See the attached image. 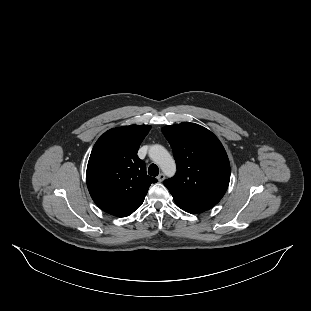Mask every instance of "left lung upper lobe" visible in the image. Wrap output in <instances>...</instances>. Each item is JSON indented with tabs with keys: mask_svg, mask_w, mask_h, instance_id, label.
Segmentation results:
<instances>
[{
	"mask_svg": "<svg viewBox=\"0 0 311 311\" xmlns=\"http://www.w3.org/2000/svg\"><path fill=\"white\" fill-rule=\"evenodd\" d=\"M162 132L177 165L175 176L164 185L187 203L215 206L230 181V163L221 142L208 129L189 122L165 126Z\"/></svg>",
	"mask_w": 311,
	"mask_h": 311,
	"instance_id": "1",
	"label": "left lung upper lobe"
}]
</instances>
